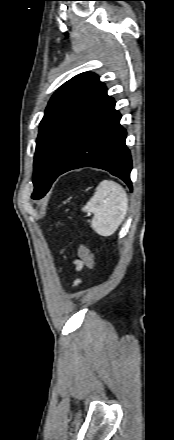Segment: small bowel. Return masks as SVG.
<instances>
[{"instance_id": "1", "label": "small bowel", "mask_w": 174, "mask_h": 440, "mask_svg": "<svg viewBox=\"0 0 174 440\" xmlns=\"http://www.w3.org/2000/svg\"><path fill=\"white\" fill-rule=\"evenodd\" d=\"M75 264H76L78 269L82 268V262L81 261L77 260L75 262ZM80 284H81V281H79V280L75 281V283H74L75 286H79Z\"/></svg>"}]
</instances>
